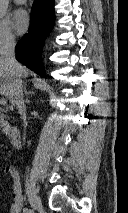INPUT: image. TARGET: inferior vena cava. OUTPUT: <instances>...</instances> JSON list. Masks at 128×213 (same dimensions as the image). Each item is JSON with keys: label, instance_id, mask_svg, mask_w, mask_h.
Instances as JSON below:
<instances>
[{"label": "inferior vena cava", "instance_id": "602c4592", "mask_svg": "<svg viewBox=\"0 0 128 213\" xmlns=\"http://www.w3.org/2000/svg\"><path fill=\"white\" fill-rule=\"evenodd\" d=\"M1 58L6 62L10 69L11 75L14 77L11 95L13 103L16 104L21 118L26 120V106L23 100L22 86V67L15 59V38L12 35L4 37L0 46Z\"/></svg>", "mask_w": 128, "mask_h": 213}]
</instances>
